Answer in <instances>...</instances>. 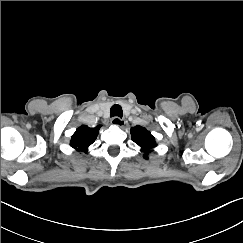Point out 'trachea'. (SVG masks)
Listing matches in <instances>:
<instances>
[{"label":"trachea","instance_id":"obj_1","mask_svg":"<svg viewBox=\"0 0 243 243\" xmlns=\"http://www.w3.org/2000/svg\"><path fill=\"white\" fill-rule=\"evenodd\" d=\"M110 116L111 117H119V118H122L123 116V111H122V108L120 105H113L110 109Z\"/></svg>","mask_w":243,"mask_h":243}]
</instances>
